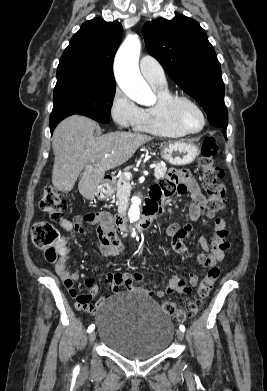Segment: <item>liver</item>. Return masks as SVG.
<instances>
[{"label": "liver", "mask_w": 267, "mask_h": 391, "mask_svg": "<svg viewBox=\"0 0 267 391\" xmlns=\"http://www.w3.org/2000/svg\"><path fill=\"white\" fill-rule=\"evenodd\" d=\"M96 128L95 121L81 115L67 117L56 127L52 184L57 190L71 191L84 169L78 190L93 199L105 172L127 162L140 146L152 140L146 134L123 131L95 137Z\"/></svg>", "instance_id": "1"}]
</instances>
